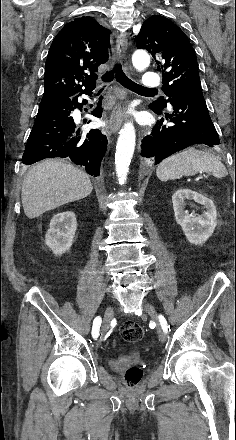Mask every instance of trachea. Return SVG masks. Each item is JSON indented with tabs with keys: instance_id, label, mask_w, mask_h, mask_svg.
I'll list each match as a JSON object with an SVG mask.
<instances>
[{
	"instance_id": "1",
	"label": "trachea",
	"mask_w": 236,
	"mask_h": 440,
	"mask_svg": "<svg viewBox=\"0 0 236 440\" xmlns=\"http://www.w3.org/2000/svg\"><path fill=\"white\" fill-rule=\"evenodd\" d=\"M114 77L125 88L131 89V90H136V91L152 90V89H146L143 86L132 81L130 78H128L126 76V74L123 72L121 63H119V62L115 63L113 68L110 71L106 72L102 76V81L103 82H110L114 79ZM101 90H103V88Z\"/></svg>"
}]
</instances>
